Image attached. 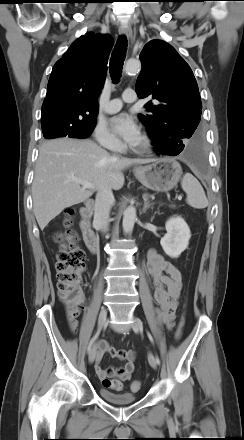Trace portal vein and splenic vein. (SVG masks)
Segmentation results:
<instances>
[{
	"instance_id": "1",
	"label": "portal vein and splenic vein",
	"mask_w": 244,
	"mask_h": 440,
	"mask_svg": "<svg viewBox=\"0 0 244 440\" xmlns=\"http://www.w3.org/2000/svg\"><path fill=\"white\" fill-rule=\"evenodd\" d=\"M73 181L81 184L84 188H87V189H92L94 187L91 183H89L87 181H83V180H79V179H73ZM178 199L181 200L182 196H179Z\"/></svg>"
}]
</instances>
